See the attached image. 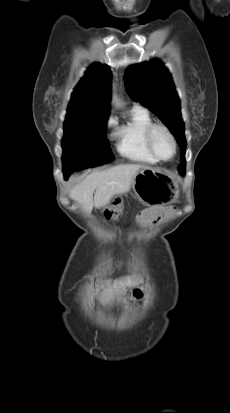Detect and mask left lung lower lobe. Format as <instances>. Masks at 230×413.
<instances>
[{"mask_svg": "<svg viewBox=\"0 0 230 413\" xmlns=\"http://www.w3.org/2000/svg\"><path fill=\"white\" fill-rule=\"evenodd\" d=\"M182 176H184L185 175V173H183V174H181Z\"/></svg>", "mask_w": 230, "mask_h": 413, "instance_id": "0a47b994", "label": "left lung lower lobe"}]
</instances>
